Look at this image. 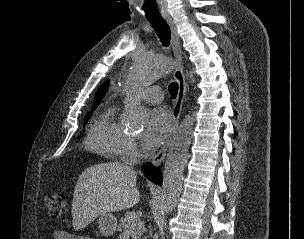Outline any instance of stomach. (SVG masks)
<instances>
[{
    "label": "stomach",
    "mask_w": 304,
    "mask_h": 239,
    "mask_svg": "<svg viewBox=\"0 0 304 239\" xmlns=\"http://www.w3.org/2000/svg\"><path fill=\"white\" fill-rule=\"evenodd\" d=\"M98 228L103 236L108 237L113 235L117 228V217L108 213L100 215Z\"/></svg>",
    "instance_id": "obj_1"
}]
</instances>
